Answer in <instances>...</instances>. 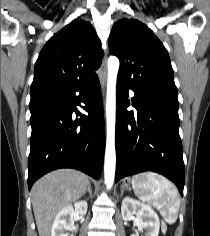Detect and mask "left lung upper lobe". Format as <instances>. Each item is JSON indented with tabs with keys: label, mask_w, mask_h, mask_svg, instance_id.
I'll return each mask as SVG.
<instances>
[{
	"label": "left lung upper lobe",
	"mask_w": 210,
	"mask_h": 236,
	"mask_svg": "<svg viewBox=\"0 0 210 236\" xmlns=\"http://www.w3.org/2000/svg\"><path fill=\"white\" fill-rule=\"evenodd\" d=\"M109 51L120 60L118 79L132 89L177 95L168 52L140 21H117L109 36Z\"/></svg>",
	"instance_id": "left-lung-upper-lobe-1"
}]
</instances>
